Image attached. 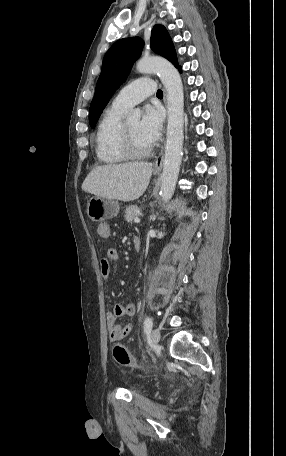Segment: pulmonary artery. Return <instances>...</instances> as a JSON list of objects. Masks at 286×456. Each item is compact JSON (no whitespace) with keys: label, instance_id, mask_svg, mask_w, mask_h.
<instances>
[{"label":"pulmonary artery","instance_id":"pulmonary-artery-1","mask_svg":"<svg viewBox=\"0 0 286 456\" xmlns=\"http://www.w3.org/2000/svg\"><path fill=\"white\" fill-rule=\"evenodd\" d=\"M155 82L149 77H142L120 90L112 101V106L129 110L155 93Z\"/></svg>","mask_w":286,"mask_h":456}]
</instances>
